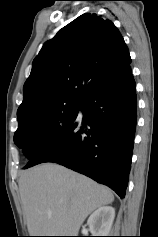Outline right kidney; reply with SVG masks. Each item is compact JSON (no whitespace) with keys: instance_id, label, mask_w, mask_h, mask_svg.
<instances>
[{"instance_id":"obj_1","label":"right kidney","mask_w":158,"mask_h":237,"mask_svg":"<svg viewBox=\"0 0 158 237\" xmlns=\"http://www.w3.org/2000/svg\"><path fill=\"white\" fill-rule=\"evenodd\" d=\"M115 218L112 206H102L95 210L87 220V225L93 236H108Z\"/></svg>"}]
</instances>
